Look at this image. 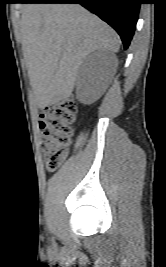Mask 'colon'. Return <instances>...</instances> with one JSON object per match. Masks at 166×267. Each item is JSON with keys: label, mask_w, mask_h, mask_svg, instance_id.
I'll return each mask as SVG.
<instances>
[{"label": "colon", "mask_w": 166, "mask_h": 267, "mask_svg": "<svg viewBox=\"0 0 166 267\" xmlns=\"http://www.w3.org/2000/svg\"><path fill=\"white\" fill-rule=\"evenodd\" d=\"M76 116L77 104L72 99L47 107L41 115L39 124L43 131V149L49 171L58 169L67 157Z\"/></svg>", "instance_id": "obj_1"}]
</instances>
